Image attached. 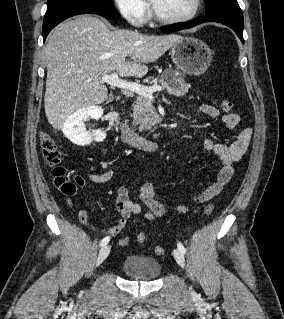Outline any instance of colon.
<instances>
[{"label": "colon", "mask_w": 284, "mask_h": 319, "mask_svg": "<svg viewBox=\"0 0 284 319\" xmlns=\"http://www.w3.org/2000/svg\"><path fill=\"white\" fill-rule=\"evenodd\" d=\"M222 110L229 112L233 108V103L230 100L223 99L220 102ZM40 147L42 158L47 166L51 168V173L54 177L55 186L64 194L72 195L75 193L77 185L81 184L80 179L76 178L71 180L66 177L65 170L61 166V152L59 151L54 139L47 133L40 134ZM214 210V204L210 203L205 208V214L209 215ZM146 240V235L144 233H139L137 235V241L139 243H144ZM119 244L121 246H127L129 244V238L124 237L120 239ZM156 255H162L164 253V248L161 246H156L154 249Z\"/></svg>", "instance_id": "colon-1"}]
</instances>
